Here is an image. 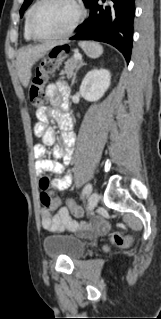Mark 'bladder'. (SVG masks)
<instances>
[{"label":"bladder","mask_w":161,"mask_h":319,"mask_svg":"<svg viewBox=\"0 0 161 319\" xmlns=\"http://www.w3.org/2000/svg\"><path fill=\"white\" fill-rule=\"evenodd\" d=\"M44 249L51 257L80 258L85 253V242L70 235H49L44 239Z\"/></svg>","instance_id":"1"}]
</instances>
